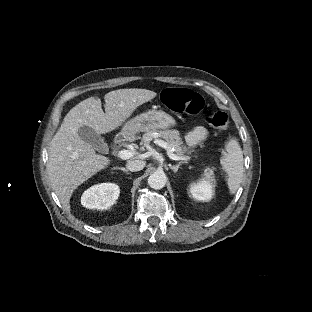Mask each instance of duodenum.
Returning a JSON list of instances; mask_svg holds the SVG:
<instances>
[{
    "label": "duodenum",
    "mask_w": 312,
    "mask_h": 312,
    "mask_svg": "<svg viewBox=\"0 0 312 312\" xmlns=\"http://www.w3.org/2000/svg\"><path fill=\"white\" fill-rule=\"evenodd\" d=\"M132 134L130 132H123V133H120L118 136H117V143L119 145H124L125 143H127L128 141H130L132 139Z\"/></svg>",
    "instance_id": "duodenum-1"
}]
</instances>
